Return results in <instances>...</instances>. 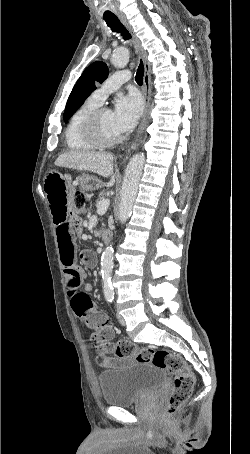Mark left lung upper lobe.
I'll list each match as a JSON object with an SVG mask.
<instances>
[{
    "label": "left lung upper lobe",
    "instance_id": "left-lung-upper-lobe-1",
    "mask_svg": "<svg viewBox=\"0 0 250 454\" xmlns=\"http://www.w3.org/2000/svg\"><path fill=\"white\" fill-rule=\"evenodd\" d=\"M107 76L108 68L102 61L94 62L84 70L68 98L63 116L65 122L82 106L86 98Z\"/></svg>",
    "mask_w": 250,
    "mask_h": 454
}]
</instances>
